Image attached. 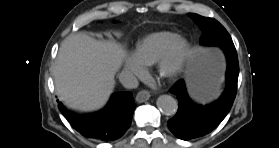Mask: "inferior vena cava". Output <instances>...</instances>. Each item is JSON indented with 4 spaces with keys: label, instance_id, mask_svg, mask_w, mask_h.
Listing matches in <instances>:
<instances>
[{
    "label": "inferior vena cava",
    "instance_id": "602c4592",
    "mask_svg": "<svg viewBox=\"0 0 279 148\" xmlns=\"http://www.w3.org/2000/svg\"><path fill=\"white\" fill-rule=\"evenodd\" d=\"M119 81L127 89H135L138 87V79L128 71H122L119 75Z\"/></svg>",
    "mask_w": 279,
    "mask_h": 148
}]
</instances>
